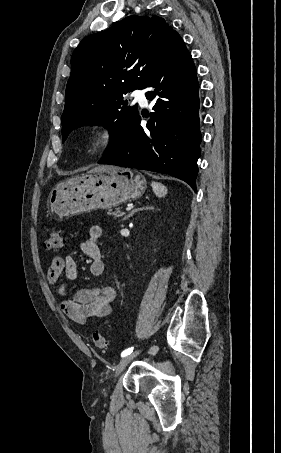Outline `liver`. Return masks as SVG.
<instances>
[{
	"label": "liver",
	"mask_w": 281,
	"mask_h": 453,
	"mask_svg": "<svg viewBox=\"0 0 281 453\" xmlns=\"http://www.w3.org/2000/svg\"><path fill=\"white\" fill-rule=\"evenodd\" d=\"M110 164H102V166H95V168H91L88 172H99V170H104V168H109Z\"/></svg>",
	"instance_id": "obj_1"
}]
</instances>
